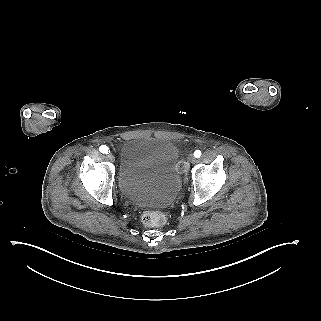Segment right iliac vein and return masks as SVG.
<instances>
[{
	"label": "right iliac vein",
	"mask_w": 321,
	"mask_h": 321,
	"mask_svg": "<svg viewBox=\"0 0 321 321\" xmlns=\"http://www.w3.org/2000/svg\"><path fill=\"white\" fill-rule=\"evenodd\" d=\"M107 158H108L111 162H113V161L115 160V159H114V156H113L111 153H108Z\"/></svg>",
	"instance_id": "63e3f726"
}]
</instances>
